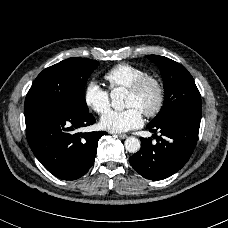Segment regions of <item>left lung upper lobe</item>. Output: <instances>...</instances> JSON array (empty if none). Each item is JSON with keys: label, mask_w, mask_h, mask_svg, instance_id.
<instances>
[{"label": "left lung upper lobe", "mask_w": 228, "mask_h": 228, "mask_svg": "<svg viewBox=\"0 0 228 228\" xmlns=\"http://www.w3.org/2000/svg\"><path fill=\"white\" fill-rule=\"evenodd\" d=\"M163 77L165 101L158 115L149 123L155 125L178 114L201 118V96L194 79L181 64L157 55H147Z\"/></svg>", "instance_id": "1"}]
</instances>
